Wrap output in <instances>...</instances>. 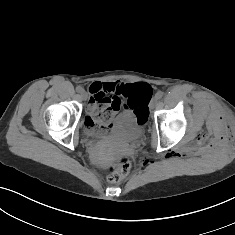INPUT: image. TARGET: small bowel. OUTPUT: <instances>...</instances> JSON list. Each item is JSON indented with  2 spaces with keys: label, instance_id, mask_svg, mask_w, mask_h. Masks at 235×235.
I'll return each mask as SVG.
<instances>
[{
  "label": "small bowel",
  "instance_id": "c3829d8e",
  "mask_svg": "<svg viewBox=\"0 0 235 235\" xmlns=\"http://www.w3.org/2000/svg\"><path fill=\"white\" fill-rule=\"evenodd\" d=\"M136 84V83H135ZM133 84H124L122 82H93L88 89L91 94L88 105V116H93L98 112L108 109L112 118L119 112L121 101L125 97V90ZM127 110L129 108L125 107ZM112 120V119H111ZM111 126V121L101 130L106 131Z\"/></svg>",
  "mask_w": 235,
  "mask_h": 235
}]
</instances>
